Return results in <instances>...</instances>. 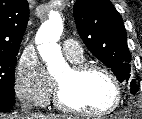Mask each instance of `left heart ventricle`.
<instances>
[{"label":"left heart ventricle","mask_w":142,"mask_h":119,"mask_svg":"<svg viewBox=\"0 0 142 119\" xmlns=\"http://www.w3.org/2000/svg\"><path fill=\"white\" fill-rule=\"evenodd\" d=\"M57 80L63 86L66 100L82 110L99 112L113 103L115 97L113 85L101 72L91 71L75 78L68 68L57 76Z\"/></svg>","instance_id":"1"}]
</instances>
